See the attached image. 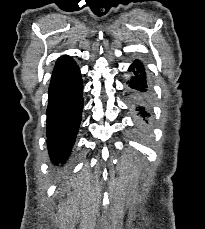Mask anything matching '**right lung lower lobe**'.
I'll list each match as a JSON object with an SVG mask.
<instances>
[{
	"instance_id": "right-lung-lower-lobe-1",
	"label": "right lung lower lobe",
	"mask_w": 205,
	"mask_h": 229,
	"mask_svg": "<svg viewBox=\"0 0 205 229\" xmlns=\"http://www.w3.org/2000/svg\"><path fill=\"white\" fill-rule=\"evenodd\" d=\"M83 84L78 66L68 56L56 62L47 107V144L53 163L69 156L81 121Z\"/></svg>"
}]
</instances>
